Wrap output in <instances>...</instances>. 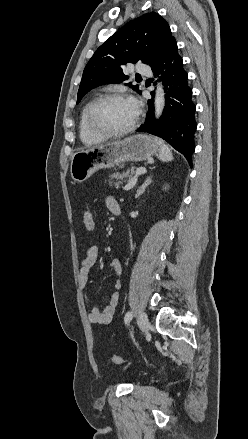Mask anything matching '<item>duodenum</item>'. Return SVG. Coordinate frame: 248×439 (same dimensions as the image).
Returning <instances> with one entry per match:
<instances>
[{
	"label": "duodenum",
	"instance_id": "obj_1",
	"mask_svg": "<svg viewBox=\"0 0 248 439\" xmlns=\"http://www.w3.org/2000/svg\"><path fill=\"white\" fill-rule=\"evenodd\" d=\"M121 213V209L120 208H117L115 211H114V214L115 215H119Z\"/></svg>",
	"mask_w": 248,
	"mask_h": 439
}]
</instances>
